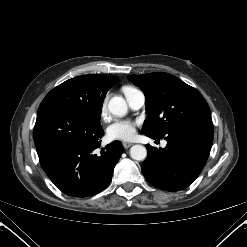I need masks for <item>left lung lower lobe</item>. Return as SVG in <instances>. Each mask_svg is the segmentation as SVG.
Returning a JSON list of instances; mask_svg holds the SVG:
<instances>
[{
    "instance_id": "obj_1",
    "label": "left lung lower lobe",
    "mask_w": 247,
    "mask_h": 247,
    "mask_svg": "<svg viewBox=\"0 0 247 247\" xmlns=\"http://www.w3.org/2000/svg\"><path fill=\"white\" fill-rule=\"evenodd\" d=\"M164 137L167 141L165 148L146 145L148 156L141 166L142 173L158 188L179 191L188 187L201 173L212 147L213 123H191Z\"/></svg>"
}]
</instances>
